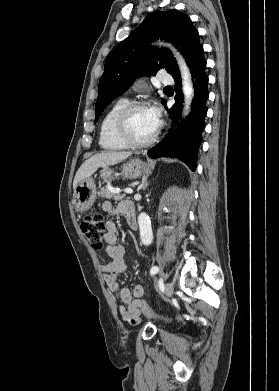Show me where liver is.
<instances>
[{
    "label": "liver",
    "mask_w": 279,
    "mask_h": 391,
    "mask_svg": "<svg viewBox=\"0 0 279 391\" xmlns=\"http://www.w3.org/2000/svg\"><path fill=\"white\" fill-rule=\"evenodd\" d=\"M131 153L128 152H101L93 155L89 159H87L76 172L74 181H73V189L75 190L76 186L90 178L92 174H94L99 167L111 166L122 162L127 159Z\"/></svg>",
    "instance_id": "1"
}]
</instances>
